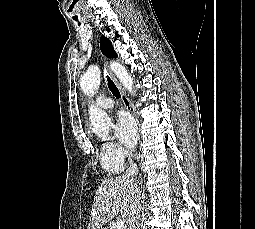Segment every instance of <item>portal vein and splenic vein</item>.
<instances>
[{
    "mask_svg": "<svg viewBox=\"0 0 255 229\" xmlns=\"http://www.w3.org/2000/svg\"><path fill=\"white\" fill-rule=\"evenodd\" d=\"M115 226L116 229H122L124 226V221L122 219H118Z\"/></svg>",
    "mask_w": 255,
    "mask_h": 229,
    "instance_id": "1",
    "label": "portal vein and splenic vein"
}]
</instances>
